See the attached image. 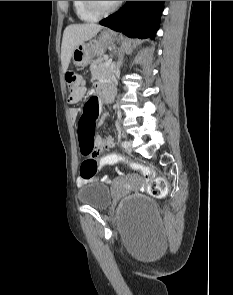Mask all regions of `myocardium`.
Here are the masks:
<instances>
[{
    "mask_svg": "<svg viewBox=\"0 0 233 295\" xmlns=\"http://www.w3.org/2000/svg\"><path fill=\"white\" fill-rule=\"evenodd\" d=\"M121 2L122 1H116L111 7L107 9H102L97 1H84V4L88 11L100 17L114 12L120 6Z\"/></svg>",
    "mask_w": 233,
    "mask_h": 295,
    "instance_id": "obj_1",
    "label": "myocardium"
}]
</instances>
